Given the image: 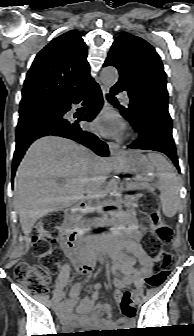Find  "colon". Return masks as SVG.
<instances>
[{"mask_svg":"<svg viewBox=\"0 0 194 336\" xmlns=\"http://www.w3.org/2000/svg\"><path fill=\"white\" fill-rule=\"evenodd\" d=\"M143 210L145 214L144 222L151 227V231L144 239V245L152 257L161 261V268L146 277L147 285L156 287L162 284L170 272L172 255L164 251L162 246L171 240L173 232L171 227L162 221L155 202L146 201L143 204ZM57 223L58 217L55 216H48L39 222L32 236L34 252L38 256H52L54 260L59 258V253L54 248ZM14 276L17 281L33 292L46 293L48 290L49 273L45 266L20 262L14 269ZM126 298L129 299V296L126 295Z\"/></svg>","mask_w":194,"mask_h":336,"instance_id":"5ec220e1","label":"colon"}]
</instances>
